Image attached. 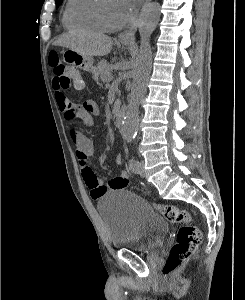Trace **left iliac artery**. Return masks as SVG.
<instances>
[{
	"label": "left iliac artery",
	"instance_id": "44dca946",
	"mask_svg": "<svg viewBox=\"0 0 245 300\" xmlns=\"http://www.w3.org/2000/svg\"><path fill=\"white\" fill-rule=\"evenodd\" d=\"M129 168L132 170L134 173H140V163L136 159H131L129 161Z\"/></svg>",
	"mask_w": 245,
	"mask_h": 300
}]
</instances>
